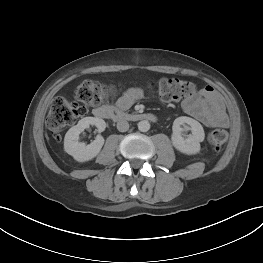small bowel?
Returning <instances> with one entry per match:
<instances>
[{
	"instance_id": "c3829d8e",
	"label": "small bowel",
	"mask_w": 263,
	"mask_h": 263,
	"mask_svg": "<svg viewBox=\"0 0 263 263\" xmlns=\"http://www.w3.org/2000/svg\"><path fill=\"white\" fill-rule=\"evenodd\" d=\"M143 96L140 88H130L118 101L120 109H128ZM183 110L207 127H227L228 116L219 94L212 86H205L182 102Z\"/></svg>"
}]
</instances>
